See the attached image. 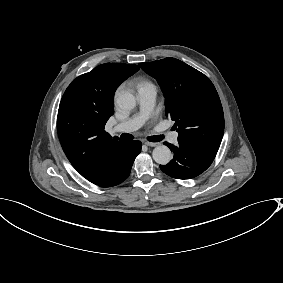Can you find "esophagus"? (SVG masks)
<instances>
[{
	"label": "esophagus",
	"instance_id": "obj_1",
	"mask_svg": "<svg viewBox=\"0 0 283 283\" xmlns=\"http://www.w3.org/2000/svg\"><path fill=\"white\" fill-rule=\"evenodd\" d=\"M145 145L150 146V147H157L160 145L159 142H145Z\"/></svg>",
	"mask_w": 283,
	"mask_h": 283
}]
</instances>
